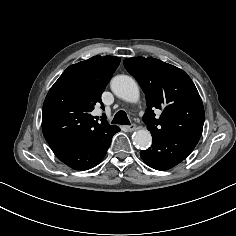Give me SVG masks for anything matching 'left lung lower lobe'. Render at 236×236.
Here are the masks:
<instances>
[{"label":"left lung lower lobe","mask_w":236,"mask_h":236,"mask_svg":"<svg viewBox=\"0 0 236 236\" xmlns=\"http://www.w3.org/2000/svg\"><path fill=\"white\" fill-rule=\"evenodd\" d=\"M152 138V146L141 151L140 155L150 167L167 170L183 161L193 151L200 137L173 135Z\"/></svg>","instance_id":"1"}]
</instances>
